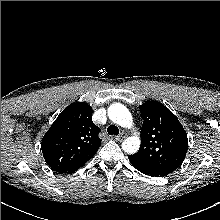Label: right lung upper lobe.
Instances as JSON below:
<instances>
[{
	"label": "right lung upper lobe",
	"instance_id": "1",
	"mask_svg": "<svg viewBox=\"0 0 220 220\" xmlns=\"http://www.w3.org/2000/svg\"><path fill=\"white\" fill-rule=\"evenodd\" d=\"M100 131L92 122V108L87 103L67 106L42 139L41 150L46 163L59 173L81 167L101 145Z\"/></svg>",
	"mask_w": 220,
	"mask_h": 220
}]
</instances>
